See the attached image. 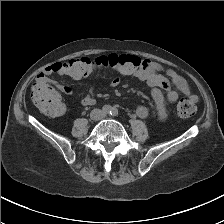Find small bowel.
I'll return each mask as SVG.
<instances>
[{
	"instance_id": "small-bowel-1",
	"label": "small bowel",
	"mask_w": 224,
	"mask_h": 224,
	"mask_svg": "<svg viewBox=\"0 0 224 224\" xmlns=\"http://www.w3.org/2000/svg\"><path fill=\"white\" fill-rule=\"evenodd\" d=\"M163 72L165 75L162 74ZM52 74L66 76L62 62H54L44 67L37 75L36 83L55 86L61 93L70 95L72 93L71 88L51 80L50 76ZM130 75L148 86L151 97L155 103L158 117L161 120H165L168 115L166 100L175 102L178 100L180 94H183L188 96L193 102L197 101V96L192 93L187 81L175 70L171 68L165 69L160 63L144 60L140 68ZM121 82L122 78L116 76L111 80L109 86L111 88H117L120 86ZM163 91H165V94ZM95 101L94 87L91 85L86 96L81 99L80 103L83 106H90L93 105ZM136 114L142 119L147 118L149 114L148 108L140 105L136 108Z\"/></svg>"
}]
</instances>
